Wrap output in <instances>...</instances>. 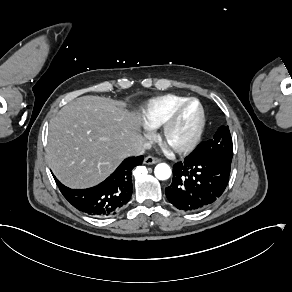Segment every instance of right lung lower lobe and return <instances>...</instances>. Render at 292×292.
<instances>
[{
	"instance_id": "right-lung-lower-lobe-1",
	"label": "right lung lower lobe",
	"mask_w": 292,
	"mask_h": 292,
	"mask_svg": "<svg viewBox=\"0 0 292 292\" xmlns=\"http://www.w3.org/2000/svg\"><path fill=\"white\" fill-rule=\"evenodd\" d=\"M144 157H130L99 185L87 189H71L54 179L66 200L79 211L94 217L115 214L132 195V169L141 165Z\"/></svg>"
}]
</instances>
